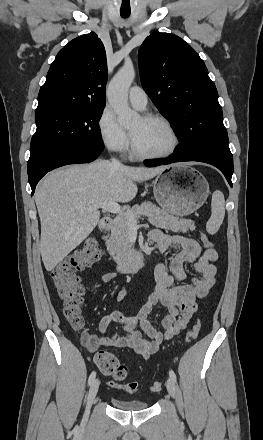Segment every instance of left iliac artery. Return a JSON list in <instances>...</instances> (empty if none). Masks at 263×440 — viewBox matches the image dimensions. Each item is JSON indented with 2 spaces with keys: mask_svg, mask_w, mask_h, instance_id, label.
<instances>
[{
  "mask_svg": "<svg viewBox=\"0 0 263 440\" xmlns=\"http://www.w3.org/2000/svg\"><path fill=\"white\" fill-rule=\"evenodd\" d=\"M169 375H170V378H171L174 382H176L177 378H176V374L174 373L173 370H170V371H169Z\"/></svg>",
  "mask_w": 263,
  "mask_h": 440,
  "instance_id": "left-iliac-artery-1",
  "label": "left iliac artery"
}]
</instances>
